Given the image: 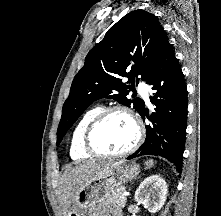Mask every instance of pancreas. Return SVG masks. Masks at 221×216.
<instances>
[{
	"label": "pancreas",
	"mask_w": 221,
	"mask_h": 216,
	"mask_svg": "<svg viewBox=\"0 0 221 216\" xmlns=\"http://www.w3.org/2000/svg\"><path fill=\"white\" fill-rule=\"evenodd\" d=\"M124 187H120L116 189L112 196L106 200L105 204L117 205L118 207H125L126 205V197L123 195Z\"/></svg>",
	"instance_id": "obj_1"
}]
</instances>
